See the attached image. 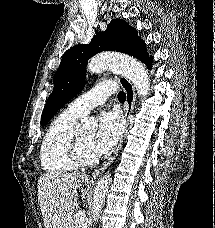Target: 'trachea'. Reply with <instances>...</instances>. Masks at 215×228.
Listing matches in <instances>:
<instances>
[{"label":"trachea","mask_w":215,"mask_h":228,"mask_svg":"<svg viewBox=\"0 0 215 228\" xmlns=\"http://www.w3.org/2000/svg\"><path fill=\"white\" fill-rule=\"evenodd\" d=\"M118 99L119 101H125L126 100V95L124 92H119L118 93Z\"/></svg>","instance_id":"1"}]
</instances>
